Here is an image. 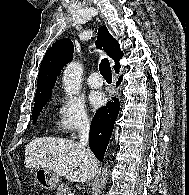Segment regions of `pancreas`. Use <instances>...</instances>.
<instances>
[{
  "instance_id": "pancreas-1",
  "label": "pancreas",
  "mask_w": 189,
  "mask_h": 195,
  "mask_svg": "<svg viewBox=\"0 0 189 195\" xmlns=\"http://www.w3.org/2000/svg\"><path fill=\"white\" fill-rule=\"evenodd\" d=\"M70 188L67 185L61 184L57 188V195H68Z\"/></svg>"
}]
</instances>
